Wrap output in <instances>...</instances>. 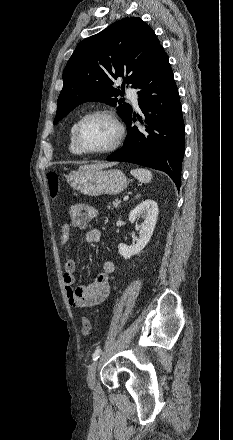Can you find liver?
I'll list each match as a JSON object with an SVG mask.
<instances>
[{"label": "liver", "instance_id": "1", "mask_svg": "<svg viewBox=\"0 0 233 440\" xmlns=\"http://www.w3.org/2000/svg\"><path fill=\"white\" fill-rule=\"evenodd\" d=\"M113 165H114V163H98V164H94V165L81 166L80 168L92 167V168L103 169V168H106V167H111Z\"/></svg>", "mask_w": 233, "mask_h": 440}]
</instances>
